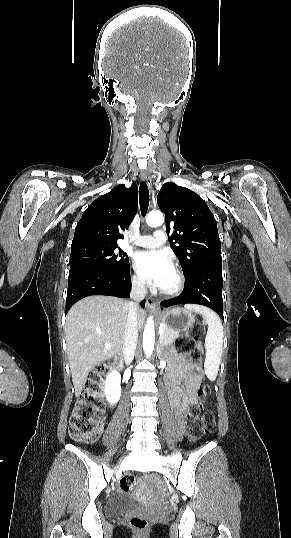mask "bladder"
<instances>
[{"label": "bladder", "instance_id": "bladder-1", "mask_svg": "<svg viewBox=\"0 0 291 538\" xmlns=\"http://www.w3.org/2000/svg\"><path fill=\"white\" fill-rule=\"evenodd\" d=\"M135 508H137V505H135L134 503L130 501L122 500V499H113L109 503V512L112 515H119L128 510H132Z\"/></svg>", "mask_w": 291, "mask_h": 538}]
</instances>
